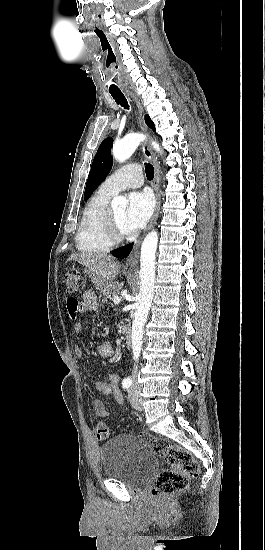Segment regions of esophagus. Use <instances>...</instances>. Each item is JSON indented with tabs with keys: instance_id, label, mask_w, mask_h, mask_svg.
Wrapping results in <instances>:
<instances>
[{
	"instance_id": "1",
	"label": "esophagus",
	"mask_w": 265,
	"mask_h": 550,
	"mask_svg": "<svg viewBox=\"0 0 265 550\" xmlns=\"http://www.w3.org/2000/svg\"><path fill=\"white\" fill-rule=\"evenodd\" d=\"M129 95L131 96V98L133 99V101L135 102L136 106H137V109H138V120H139V124H140V127L142 129V131L146 132L147 131V127H146V124L144 122V110H143V107L141 105V103L139 102L138 98L134 95V93L132 92H129ZM142 152L144 154V156L152 162L153 164V167H154V181H153V188H154V191H155V196H156V207H155V211H154V214H153V217L150 221V224L148 225L147 229H146V232L148 230H150L157 217H158V213H159V209H160V203H161V199H160V190H159V182H160V173H159V166H158V162H157V159L155 157V155L153 154L152 152V149L150 147V144L149 142H145L142 146ZM142 239H143V236H141L140 238H138L135 243H134V247L131 251V253L129 254V256L127 257L126 259V266L128 268H135L137 267L138 265V261H139V249H140V245H141V242H142Z\"/></svg>"
}]
</instances>
